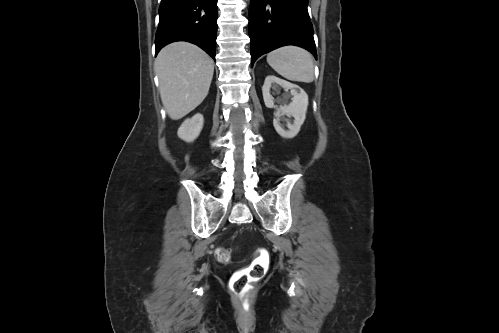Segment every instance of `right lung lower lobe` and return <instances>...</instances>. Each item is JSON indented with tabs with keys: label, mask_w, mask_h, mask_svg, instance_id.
I'll use <instances>...</instances> for the list:
<instances>
[{
	"label": "right lung lower lobe",
	"mask_w": 499,
	"mask_h": 333,
	"mask_svg": "<svg viewBox=\"0 0 499 333\" xmlns=\"http://www.w3.org/2000/svg\"><path fill=\"white\" fill-rule=\"evenodd\" d=\"M217 12V0H162L156 55L169 43L188 41L215 60Z\"/></svg>",
	"instance_id": "98d812e1"
}]
</instances>
